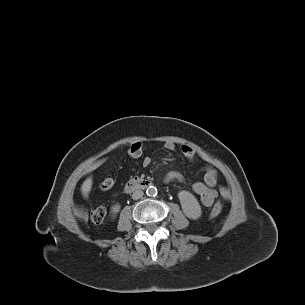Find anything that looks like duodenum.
Returning <instances> with one entry per match:
<instances>
[{
    "mask_svg": "<svg viewBox=\"0 0 305 305\" xmlns=\"http://www.w3.org/2000/svg\"><path fill=\"white\" fill-rule=\"evenodd\" d=\"M153 184V182L149 179L145 178H134L129 180L125 186H124V191L126 193H131L135 190L139 189H146L150 187Z\"/></svg>",
    "mask_w": 305,
    "mask_h": 305,
    "instance_id": "obj_1",
    "label": "duodenum"
}]
</instances>
